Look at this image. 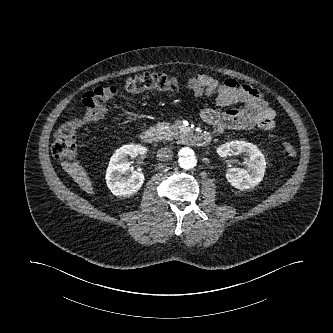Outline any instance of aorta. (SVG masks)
Returning a JSON list of instances; mask_svg holds the SVG:
<instances>
[{
	"label": "aorta",
	"mask_w": 333,
	"mask_h": 333,
	"mask_svg": "<svg viewBox=\"0 0 333 333\" xmlns=\"http://www.w3.org/2000/svg\"><path fill=\"white\" fill-rule=\"evenodd\" d=\"M178 163L183 169H193L197 165L194 151L189 147H183L178 152Z\"/></svg>",
	"instance_id": "obj_1"
}]
</instances>
